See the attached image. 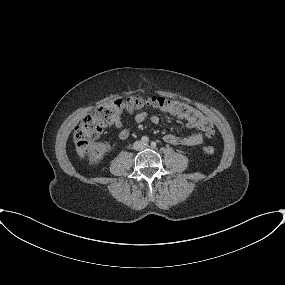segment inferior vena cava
Wrapping results in <instances>:
<instances>
[{"instance_id": "inferior-vena-cava-1", "label": "inferior vena cava", "mask_w": 285, "mask_h": 285, "mask_svg": "<svg viewBox=\"0 0 285 285\" xmlns=\"http://www.w3.org/2000/svg\"><path fill=\"white\" fill-rule=\"evenodd\" d=\"M147 147V144L142 141H136L133 145L135 150L141 151Z\"/></svg>"}]
</instances>
